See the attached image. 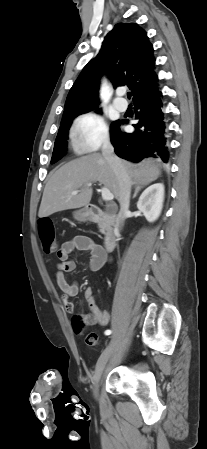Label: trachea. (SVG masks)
Returning <instances> with one entry per match:
<instances>
[{"mask_svg": "<svg viewBox=\"0 0 207 449\" xmlns=\"http://www.w3.org/2000/svg\"><path fill=\"white\" fill-rule=\"evenodd\" d=\"M127 96H128V98H130V97H131V93H130V92H128V93H127Z\"/></svg>", "mask_w": 207, "mask_h": 449, "instance_id": "1", "label": "trachea"}]
</instances>
